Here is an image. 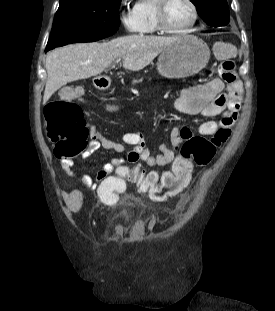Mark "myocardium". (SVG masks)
<instances>
[{"label":"myocardium","mask_w":275,"mask_h":311,"mask_svg":"<svg viewBox=\"0 0 275 311\" xmlns=\"http://www.w3.org/2000/svg\"><path fill=\"white\" fill-rule=\"evenodd\" d=\"M186 1L191 8L192 18L188 22V24L185 25L184 27L179 29H172L167 25L165 20L166 9L170 0H157L155 7V15H156L157 28L159 31L172 35L184 34L188 32V30H190L196 24L198 20V8L194 0H186Z\"/></svg>","instance_id":"1"}]
</instances>
